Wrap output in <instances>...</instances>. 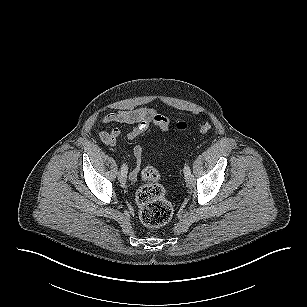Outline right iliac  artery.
<instances>
[{
    "label": "right iliac artery",
    "instance_id": "1",
    "mask_svg": "<svg viewBox=\"0 0 307 307\" xmlns=\"http://www.w3.org/2000/svg\"><path fill=\"white\" fill-rule=\"evenodd\" d=\"M127 170H128L127 165H126V164H123V165L121 166V171L124 172V173H127Z\"/></svg>",
    "mask_w": 307,
    "mask_h": 307
}]
</instances>
